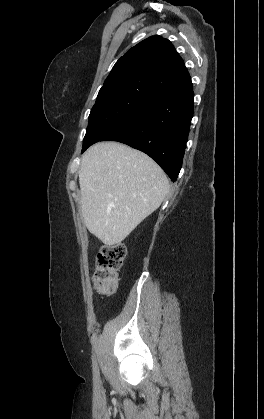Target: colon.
<instances>
[{
  "instance_id": "1",
  "label": "colon",
  "mask_w": 264,
  "mask_h": 419,
  "mask_svg": "<svg viewBox=\"0 0 264 419\" xmlns=\"http://www.w3.org/2000/svg\"><path fill=\"white\" fill-rule=\"evenodd\" d=\"M125 256L126 248L122 244L104 245L99 249L93 275V283L99 293L110 294L114 291L117 272Z\"/></svg>"
}]
</instances>
